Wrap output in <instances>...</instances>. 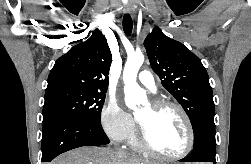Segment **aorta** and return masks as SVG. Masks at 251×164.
I'll return each mask as SVG.
<instances>
[{
	"instance_id": "aorta-1",
	"label": "aorta",
	"mask_w": 251,
	"mask_h": 164,
	"mask_svg": "<svg viewBox=\"0 0 251 164\" xmlns=\"http://www.w3.org/2000/svg\"><path fill=\"white\" fill-rule=\"evenodd\" d=\"M143 62L144 55L134 53L128 56L123 71L125 103L127 107L133 110L147 101L145 91L137 83V74Z\"/></svg>"
}]
</instances>
